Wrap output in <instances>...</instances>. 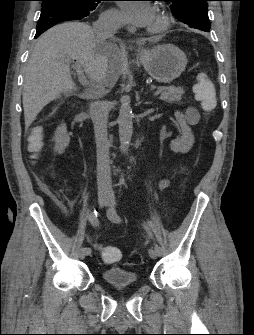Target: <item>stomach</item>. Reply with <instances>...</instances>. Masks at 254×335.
Returning a JSON list of instances; mask_svg holds the SVG:
<instances>
[{
    "instance_id": "0dacf381",
    "label": "stomach",
    "mask_w": 254,
    "mask_h": 335,
    "mask_svg": "<svg viewBox=\"0 0 254 335\" xmlns=\"http://www.w3.org/2000/svg\"><path fill=\"white\" fill-rule=\"evenodd\" d=\"M139 59L146 72L159 83H171L186 68L185 53L173 44H159L139 52Z\"/></svg>"
}]
</instances>
